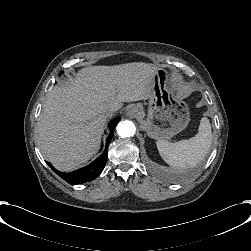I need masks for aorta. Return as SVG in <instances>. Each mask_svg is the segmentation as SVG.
I'll use <instances>...</instances> for the list:
<instances>
[{"instance_id":"aorta-1","label":"aorta","mask_w":251,"mask_h":251,"mask_svg":"<svg viewBox=\"0 0 251 251\" xmlns=\"http://www.w3.org/2000/svg\"><path fill=\"white\" fill-rule=\"evenodd\" d=\"M136 128L132 121L124 120L118 123L117 133L120 137H131L135 134Z\"/></svg>"}]
</instances>
